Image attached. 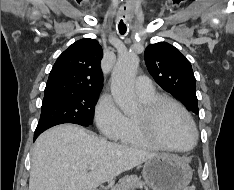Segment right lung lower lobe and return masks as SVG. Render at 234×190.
Here are the masks:
<instances>
[{"instance_id":"obj_1","label":"right lung lower lobe","mask_w":234,"mask_h":190,"mask_svg":"<svg viewBox=\"0 0 234 190\" xmlns=\"http://www.w3.org/2000/svg\"><path fill=\"white\" fill-rule=\"evenodd\" d=\"M40 134H41L40 132H35V134H34V140H35Z\"/></svg>"}]
</instances>
